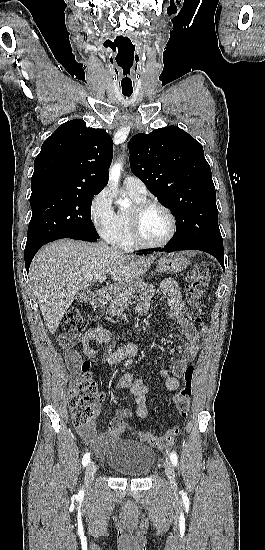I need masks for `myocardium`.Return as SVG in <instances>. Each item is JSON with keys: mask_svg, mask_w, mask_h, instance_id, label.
Here are the masks:
<instances>
[{"mask_svg": "<svg viewBox=\"0 0 265 550\" xmlns=\"http://www.w3.org/2000/svg\"><path fill=\"white\" fill-rule=\"evenodd\" d=\"M152 208H157L165 212V214L169 217L170 220V231L167 237L157 243L148 242L143 239L141 235L140 230V223L142 216ZM177 231V221L176 217L173 214V212L165 205L156 202V201H144L138 204H135L134 207L130 210V232L132 240L135 244V246L139 248H147V249H155V248H161L169 244Z\"/></svg>", "mask_w": 265, "mask_h": 550, "instance_id": "1", "label": "myocardium"}]
</instances>
